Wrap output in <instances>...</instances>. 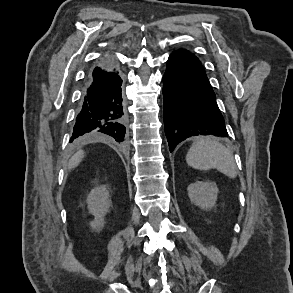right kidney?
Segmentation results:
<instances>
[{"mask_svg": "<svg viewBox=\"0 0 293 293\" xmlns=\"http://www.w3.org/2000/svg\"><path fill=\"white\" fill-rule=\"evenodd\" d=\"M88 210L95 218L90 222L92 229L99 231L104 226V217L111 205L109 192L105 186L95 187L87 198Z\"/></svg>", "mask_w": 293, "mask_h": 293, "instance_id": "obj_1", "label": "right kidney"}]
</instances>
